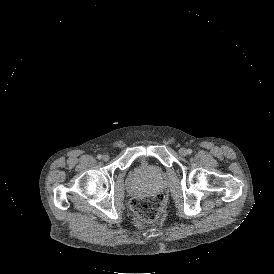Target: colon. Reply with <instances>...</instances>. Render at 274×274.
Returning a JSON list of instances; mask_svg holds the SVG:
<instances>
[{
	"instance_id": "colon-1",
	"label": "colon",
	"mask_w": 274,
	"mask_h": 274,
	"mask_svg": "<svg viewBox=\"0 0 274 274\" xmlns=\"http://www.w3.org/2000/svg\"><path fill=\"white\" fill-rule=\"evenodd\" d=\"M130 206L139 222L151 223L164 217L166 199L162 192L155 191L151 196H134Z\"/></svg>"
}]
</instances>
